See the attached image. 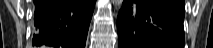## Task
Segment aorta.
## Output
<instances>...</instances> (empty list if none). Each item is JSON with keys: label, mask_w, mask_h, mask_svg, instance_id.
Wrapping results in <instances>:
<instances>
[{"label": "aorta", "mask_w": 213, "mask_h": 48, "mask_svg": "<svg viewBox=\"0 0 213 48\" xmlns=\"http://www.w3.org/2000/svg\"><path fill=\"white\" fill-rule=\"evenodd\" d=\"M112 4L114 6V9L119 10L123 5V0H112Z\"/></svg>", "instance_id": "762f6f07"}]
</instances>
